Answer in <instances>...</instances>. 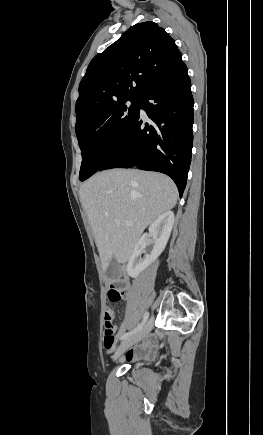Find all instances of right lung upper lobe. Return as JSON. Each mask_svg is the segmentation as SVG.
<instances>
[{"label":"right lung upper lobe","instance_id":"1","mask_svg":"<svg viewBox=\"0 0 263 435\" xmlns=\"http://www.w3.org/2000/svg\"><path fill=\"white\" fill-rule=\"evenodd\" d=\"M182 64L175 41L163 28L151 21L132 26L91 60L79 85L76 127L115 102L141 99Z\"/></svg>","mask_w":263,"mask_h":435}]
</instances>
